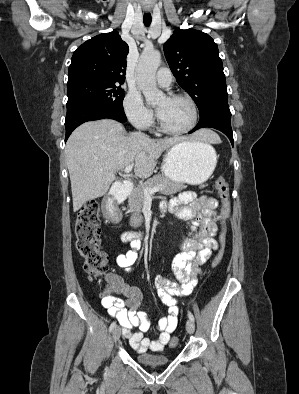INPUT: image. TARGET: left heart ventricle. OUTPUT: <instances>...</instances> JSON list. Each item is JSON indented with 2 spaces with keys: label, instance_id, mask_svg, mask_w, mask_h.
I'll return each mask as SVG.
<instances>
[{
  "label": "left heart ventricle",
  "instance_id": "1",
  "mask_svg": "<svg viewBox=\"0 0 299 394\" xmlns=\"http://www.w3.org/2000/svg\"><path fill=\"white\" fill-rule=\"evenodd\" d=\"M158 114L164 124L172 129H183L192 122V108L185 100L162 97L156 102Z\"/></svg>",
  "mask_w": 299,
  "mask_h": 394
}]
</instances>
